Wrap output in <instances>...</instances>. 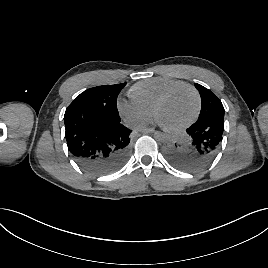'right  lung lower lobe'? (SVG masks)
Instances as JSON below:
<instances>
[{"label":"right lung lower lobe","instance_id":"98d812e1","mask_svg":"<svg viewBox=\"0 0 268 268\" xmlns=\"http://www.w3.org/2000/svg\"><path fill=\"white\" fill-rule=\"evenodd\" d=\"M120 122L119 113L87 107L64 115L68 150L84 170L102 176L126 163L131 130Z\"/></svg>","mask_w":268,"mask_h":268}]
</instances>
